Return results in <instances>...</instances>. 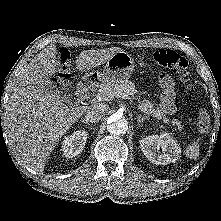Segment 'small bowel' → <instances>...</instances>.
<instances>
[{
	"label": "small bowel",
	"instance_id": "1",
	"mask_svg": "<svg viewBox=\"0 0 221 221\" xmlns=\"http://www.w3.org/2000/svg\"><path fill=\"white\" fill-rule=\"evenodd\" d=\"M160 107L167 114H173L175 112L176 107L174 91H165L162 93Z\"/></svg>",
	"mask_w": 221,
	"mask_h": 221
}]
</instances>
